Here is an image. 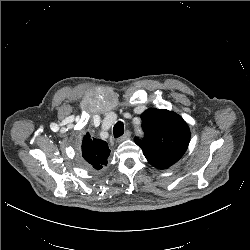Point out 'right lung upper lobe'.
Instances as JSON below:
<instances>
[{
    "label": "right lung upper lobe",
    "instance_id": "cb5924a9",
    "mask_svg": "<svg viewBox=\"0 0 250 250\" xmlns=\"http://www.w3.org/2000/svg\"><path fill=\"white\" fill-rule=\"evenodd\" d=\"M80 152L86 164L96 170L107 165L110 154L108 144L103 140L92 138L89 133L82 138Z\"/></svg>",
    "mask_w": 250,
    "mask_h": 250
}]
</instances>
